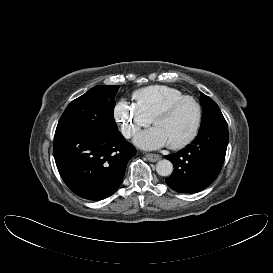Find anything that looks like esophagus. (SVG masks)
<instances>
[{"mask_svg": "<svg viewBox=\"0 0 273 273\" xmlns=\"http://www.w3.org/2000/svg\"><path fill=\"white\" fill-rule=\"evenodd\" d=\"M145 157L150 161V162H157L161 159V156L158 154H153V153H146Z\"/></svg>", "mask_w": 273, "mask_h": 273, "instance_id": "esophagus-1", "label": "esophagus"}]
</instances>
